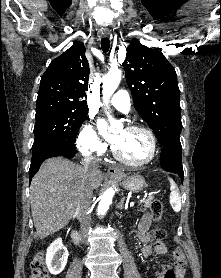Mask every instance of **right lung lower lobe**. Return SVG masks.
Returning a JSON list of instances; mask_svg holds the SVG:
<instances>
[{"mask_svg":"<svg viewBox=\"0 0 221 278\" xmlns=\"http://www.w3.org/2000/svg\"><path fill=\"white\" fill-rule=\"evenodd\" d=\"M76 153L75 144L66 139H53L32 148V159L29 169V179L37 173L42 162L50 157L64 156L74 157Z\"/></svg>","mask_w":221,"mask_h":278,"instance_id":"obj_1","label":"right lung lower lobe"}]
</instances>
